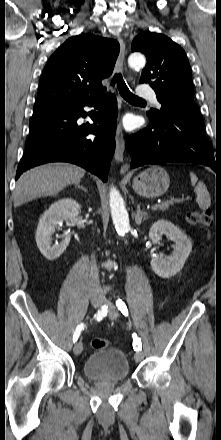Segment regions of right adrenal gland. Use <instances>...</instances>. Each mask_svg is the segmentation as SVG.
<instances>
[{
    "mask_svg": "<svg viewBox=\"0 0 221 440\" xmlns=\"http://www.w3.org/2000/svg\"><path fill=\"white\" fill-rule=\"evenodd\" d=\"M76 186L78 188L82 189L83 191L88 192L87 189L85 187L81 186L79 183H76Z\"/></svg>",
    "mask_w": 221,
    "mask_h": 440,
    "instance_id": "2a0ac1e0",
    "label": "right adrenal gland"
}]
</instances>
